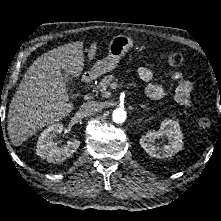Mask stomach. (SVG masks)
I'll return each instance as SVG.
<instances>
[{
    "instance_id": "obj_1",
    "label": "stomach",
    "mask_w": 221,
    "mask_h": 221,
    "mask_svg": "<svg viewBox=\"0 0 221 221\" xmlns=\"http://www.w3.org/2000/svg\"><path fill=\"white\" fill-rule=\"evenodd\" d=\"M133 44V40L126 35L114 36L109 43L107 57L97 61L93 65L89 71L91 76L98 77L116 68L121 58Z\"/></svg>"
}]
</instances>
